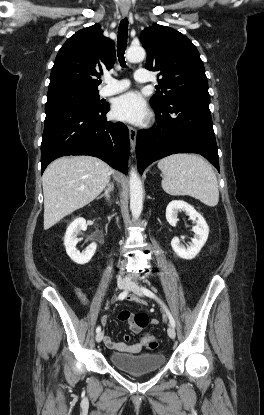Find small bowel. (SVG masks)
I'll return each instance as SVG.
<instances>
[{
    "instance_id": "c3829d8e",
    "label": "small bowel",
    "mask_w": 264,
    "mask_h": 415,
    "mask_svg": "<svg viewBox=\"0 0 264 415\" xmlns=\"http://www.w3.org/2000/svg\"><path fill=\"white\" fill-rule=\"evenodd\" d=\"M129 300L131 302H134L136 304H145L144 300L136 295H131L129 297ZM118 319L122 322H125L129 325L130 330H132L133 332L137 333L139 332V327H137L132 319V315L130 312L128 311H122L118 314ZM110 320V316L109 315H104L101 317V322L103 323V325H106ZM152 325L157 324L156 320H152L151 321ZM103 340L104 343L106 344V346L110 349H114L120 352H124V353H139L141 351H143V346L141 343H135V344H130L131 341V337L128 334H125L123 336V341H115L113 340L109 335H104L103 336Z\"/></svg>"
}]
</instances>
